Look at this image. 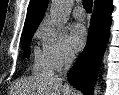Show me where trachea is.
<instances>
[{
    "label": "trachea",
    "mask_w": 119,
    "mask_h": 95,
    "mask_svg": "<svg viewBox=\"0 0 119 95\" xmlns=\"http://www.w3.org/2000/svg\"><path fill=\"white\" fill-rule=\"evenodd\" d=\"M83 7L85 8V10L90 13L92 11V5H93V1L92 0H83Z\"/></svg>",
    "instance_id": "trachea-1"
}]
</instances>
